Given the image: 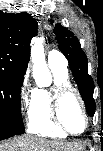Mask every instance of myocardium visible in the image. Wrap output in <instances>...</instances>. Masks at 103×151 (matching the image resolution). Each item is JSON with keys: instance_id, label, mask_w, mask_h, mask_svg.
<instances>
[{"instance_id": "f54148a6", "label": "myocardium", "mask_w": 103, "mask_h": 151, "mask_svg": "<svg viewBox=\"0 0 103 151\" xmlns=\"http://www.w3.org/2000/svg\"><path fill=\"white\" fill-rule=\"evenodd\" d=\"M69 94H73L78 99L81 108L83 110L85 125L83 130L80 132L72 131L61 119L60 111H61L62 101L65 98V96ZM50 118L53 125L56 128L65 132L66 134L74 135V136L83 134L88 129L89 121H90L87 107L83 97L81 96V94L78 92L77 89L73 88L70 85H57L52 88L51 100H50Z\"/></svg>"}]
</instances>
